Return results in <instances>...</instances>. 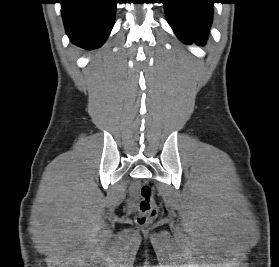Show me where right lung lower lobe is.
Listing matches in <instances>:
<instances>
[{
    "instance_id": "1",
    "label": "right lung lower lobe",
    "mask_w": 279,
    "mask_h": 267,
    "mask_svg": "<svg viewBox=\"0 0 279 267\" xmlns=\"http://www.w3.org/2000/svg\"><path fill=\"white\" fill-rule=\"evenodd\" d=\"M61 12L70 40L83 48L100 47L114 23L116 0H61Z\"/></svg>"
}]
</instances>
